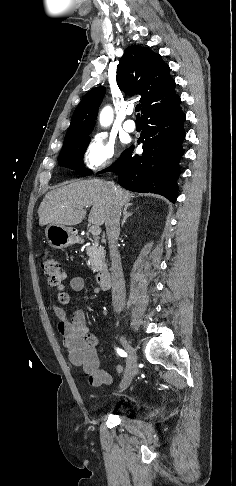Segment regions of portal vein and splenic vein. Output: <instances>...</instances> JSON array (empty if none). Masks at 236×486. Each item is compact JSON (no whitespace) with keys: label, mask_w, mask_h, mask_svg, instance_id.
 Instances as JSON below:
<instances>
[{"label":"portal vein and splenic vein","mask_w":236,"mask_h":486,"mask_svg":"<svg viewBox=\"0 0 236 486\" xmlns=\"http://www.w3.org/2000/svg\"><path fill=\"white\" fill-rule=\"evenodd\" d=\"M90 232H91L92 235L98 236L101 233V228H100L99 225H92L90 227Z\"/></svg>","instance_id":"18ae733b"}]
</instances>
